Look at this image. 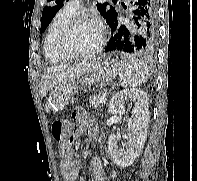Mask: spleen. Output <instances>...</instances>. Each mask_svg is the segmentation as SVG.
I'll list each match as a JSON object with an SVG mask.
<instances>
[{
  "label": "spleen",
  "instance_id": "3e777b00",
  "mask_svg": "<svg viewBox=\"0 0 197 181\" xmlns=\"http://www.w3.org/2000/svg\"><path fill=\"white\" fill-rule=\"evenodd\" d=\"M120 82L123 87H136L148 79V67L140 60L127 53H121Z\"/></svg>",
  "mask_w": 197,
  "mask_h": 181
}]
</instances>
